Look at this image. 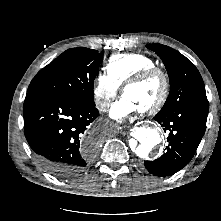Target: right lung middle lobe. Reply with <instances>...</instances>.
<instances>
[{"mask_svg": "<svg viewBox=\"0 0 221 221\" xmlns=\"http://www.w3.org/2000/svg\"><path fill=\"white\" fill-rule=\"evenodd\" d=\"M103 55L78 47L63 52L31 81L28 91L44 90L80 104L95 106L94 79Z\"/></svg>", "mask_w": 221, "mask_h": 221, "instance_id": "dd1d6c3e", "label": "right lung middle lobe"}]
</instances>
